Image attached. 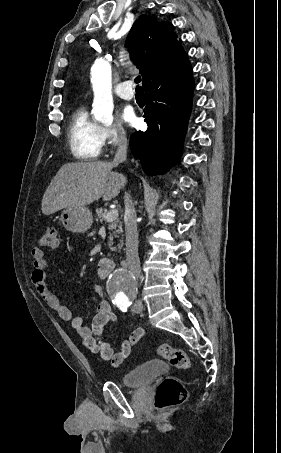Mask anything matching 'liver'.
I'll use <instances>...</instances> for the list:
<instances>
[{"label": "liver", "instance_id": "obj_1", "mask_svg": "<svg viewBox=\"0 0 281 453\" xmlns=\"http://www.w3.org/2000/svg\"><path fill=\"white\" fill-rule=\"evenodd\" d=\"M115 162H67L60 166L42 198L43 214H53L61 208L86 206L103 196L111 200L118 196L125 178L119 172H111Z\"/></svg>", "mask_w": 281, "mask_h": 453}]
</instances>
